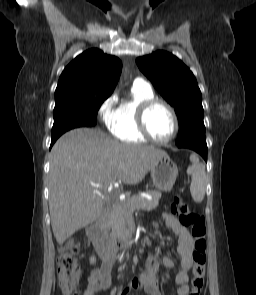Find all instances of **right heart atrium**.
<instances>
[{"mask_svg":"<svg viewBox=\"0 0 256 295\" xmlns=\"http://www.w3.org/2000/svg\"><path fill=\"white\" fill-rule=\"evenodd\" d=\"M116 102L117 96L114 94L104 100L99 107V115L107 125L113 113V108Z\"/></svg>","mask_w":256,"mask_h":295,"instance_id":"obj_1","label":"right heart atrium"}]
</instances>
